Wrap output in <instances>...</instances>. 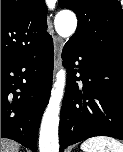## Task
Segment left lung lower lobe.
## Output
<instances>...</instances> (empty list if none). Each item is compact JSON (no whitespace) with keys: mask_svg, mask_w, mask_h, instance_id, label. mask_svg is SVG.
<instances>
[{"mask_svg":"<svg viewBox=\"0 0 123 152\" xmlns=\"http://www.w3.org/2000/svg\"><path fill=\"white\" fill-rule=\"evenodd\" d=\"M62 58L67 84L59 124L60 151L94 136L123 140V63L71 42L65 44Z\"/></svg>","mask_w":123,"mask_h":152,"instance_id":"obj_1","label":"left lung lower lobe"}]
</instances>
